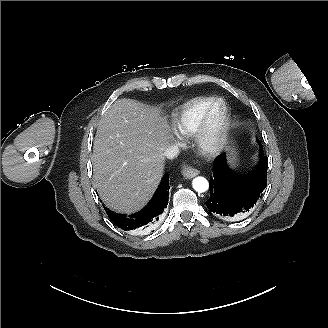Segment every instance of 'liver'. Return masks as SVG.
<instances>
[{"instance_id": "1", "label": "liver", "mask_w": 328, "mask_h": 328, "mask_svg": "<svg viewBox=\"0 0 328 328\" xmlns=\"http://www.w3.org/2000/svg\"><path fill=\"white\" fill-rule=\"evenodd\" d=\"M171 127L156 108L117 100L94 141L93 184L111 209L131 213L151 198L163 173Z\"/></svg>"}]
</instances>
